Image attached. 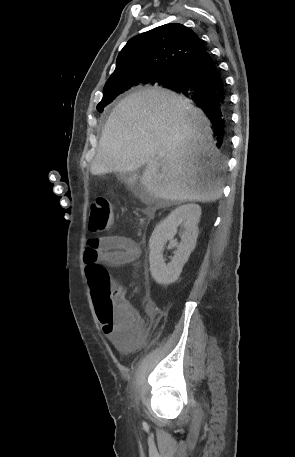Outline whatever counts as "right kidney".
Wrapping results in <instances>:
<instances>
[{
	"label": "right kidney",
	"instance_id": "obj_1",
	"mask_svg": "<svg viewBox=\"0 0 295 457\" xmlns=\"http://www.w3.org/2000/svg\"><path fill=\"white\" fill-rule=\"evenodd\" d=\"M201 208L197 204H186L177 207L154 229L149 240L150 271L158 284L175 282L196 246L198 223ZM181 226V242L173 240L178 227ZM167 241L170 248L177 247L174 257L166 264L163 260V249Z\"/></svg>",
	"mask_w": 295,
	"mask_h": 457
}]
</instances>
